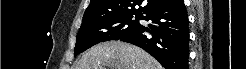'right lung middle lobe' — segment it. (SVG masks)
Wrapping results in <instances>:
<instances>
[{"mask_svg":"<svg viewBox=\"0 0 246 69\" xmlns=\"http://www.w3.org/2000/svg\"><path fill=\"white\" fill-rule=\"evenodd\" d=\"M141 17L142 14H121L98 20L82 21L77 34L74 55L77 56L100 42L118 40L137 28Z\"/></svg>","mask_w":246,"mask_h":69,"instance_id":"obj_1","label":"right lung middle lobe"}]
</instances>
